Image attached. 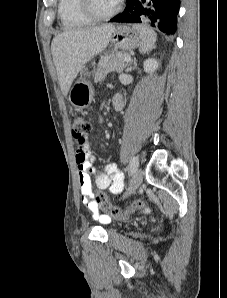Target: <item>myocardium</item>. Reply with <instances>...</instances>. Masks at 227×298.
I'll use <instances>...</instances> for the list:
<instances>
[{
	"mask_svg": "<svg viewBox=\"0 0 227 298\" xmlns=\"http://www.w3.org/2000/svg\"><path fill=\"white\" fill-rule=\"evenodd\" d=\"M81 9L84 15L93 22L106 21L117 15L122 7V0H118L116 6L107 14H98L94 11L91 0H80Z\"/></svg>",
	"mask_w": 227,
	"mask_h": 298,
	"instance_id": "obj_1",
	"label": "myocardium"
}]
</instances>
